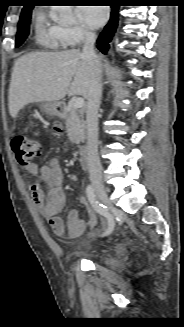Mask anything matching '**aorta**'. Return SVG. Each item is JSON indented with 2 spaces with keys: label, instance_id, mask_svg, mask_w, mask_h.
Instances as JSON below:
<instances>
[{
  "label": "aorta",
  "instance_id": "obj_1",
  "mask_svg": "<svg viewBox=\"0 0 184 327\" xmlns=\"http://www.w3.org/2000/svg\"><path fill=\"white\" fill-rule=\"evenodd\" d=\"M66 17H67L68 19H71L73 16H72L71 13H69L68 15H66Z\"/></svg>",
  "mask_w": 184,
  "mask_h": 327
}]
</instances>
